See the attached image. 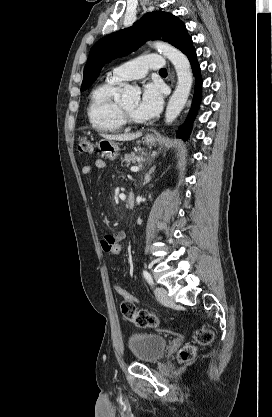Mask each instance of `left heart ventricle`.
I'll list each match as a JSON object with an SVG mask.
<instances>
[{
	"mask_svg": "<svg viewBox=\"0 0 272 417\" xmlns=\"http://www.w3.org/2000/svg\"><path fill=\"white\" fill-rule=\"evenodd\" d=\"M123 107L129 111L134 117L141 119L140 117L137 116L136 114V108H137V103L136 102H130V103H126L123 104Z\"/></svg>",
	"mask_w": 272,
	"mask_h": 417,
	"instance_id": "b2bd125f",
	"label": "left heart ventricle"
}]
</instances>
